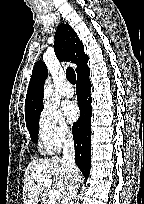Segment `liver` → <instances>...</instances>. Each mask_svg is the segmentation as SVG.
Wrapping results in <instances>:
<instances>
[{
	"instance_id": "obj_1",
	"label": "liver",
	"mask_w": 144,
	"mask_h": 204,
	"mask_svg": "<svg viewBox=\"0 0 144 204\" xmlns=\"http://www.w3.org/2000/svg\"><path fill=\"white\" fill-rule=\"evenodd\" d=\"M39 175L51 179L52 190L58 191L63 198L66 196L70 187V176L66 162L59 157L35 159L29 163L24 174L22 191L24 204H37L45 187L43 182L35 181V177Z\"/></svg>"
}]
</instances>
